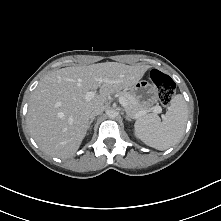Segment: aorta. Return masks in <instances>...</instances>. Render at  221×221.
I'll return each mask as SVG.
<instances>
[{"label": "aorta", "instance_id": "obj_1", "mask_svg": "<svg viewBox=\"0 0 221 221\" xmlns=\"http://www.w3.org/2000/svg\"><path fill=\"white\" fill-rule=\"evenodd\" d=\"M107 115L109 118L113 119V118L117 117L118 113L115 110H109L107 112Z\"/></svg>", "mask_w": 221, "mask_h": 221}]
</instances>
